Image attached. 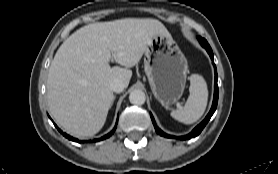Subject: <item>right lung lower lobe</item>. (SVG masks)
<instances>
[{"mask_svg":"<svg viewBox=\"0 0 278 174\" xmlns=\"http://www.w3.org/2000/svg\"><path fill=\"white\" fill-rule=\"evenodd\" d=\"M54 125L56 126L55 123H54ZM116 126H117V123H116L114 129H113L110 133H108L107 135H105V136H103V137H101V138H99V139H96L95 141L103 140V139H106V138L110 137V136L115 132ZM56 128L59 130V132H61V133H62L66 138H68L69 140H72V141H75V142H80L78 139L73 138V137L67 135L66 133H63L57 126H56Z\"/></svg>","mask_w":278,"mask_h":174,"instance_id":"98d812e1","label":"right lung lower lobe"}]
</instances>
